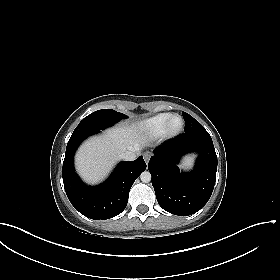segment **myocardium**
I'll list each match as a JSON object with an SVG mask.
<instances>
[{
  "label": "myocardium",
  "mask_w": 280,
  "mask_h": 280,
  "mask_svg": "<svg viewBox=\"0 0 280 280\" xmlns=\"http://www.w3.org/2000/svg\"><path fill=\"white\" fill-rule=\"evenodd\" d=\"M176 117L181 120V126L177 130L173 131L170 128V124H171L172 119L176 118ZM184 126H185V121H184L183 117L181 115H179V114H172L169 117V119L167 120V122L165 123L164 128H163V132H162L161 135L165 139L176 138V137H178L183 132Z\"/></svg>",
  "instance_id": "myocardium-1"
}]
</instances>
